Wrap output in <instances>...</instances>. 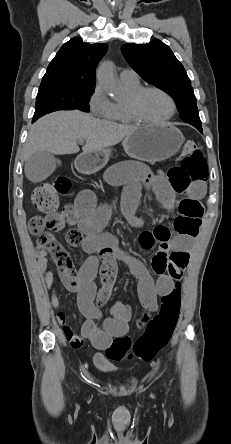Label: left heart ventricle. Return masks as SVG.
<instances>
[{"label":"left heart ventricle","instance_id":"1","mask_svg":"<svg viewBox=\"0 0 231 444\" xmlns=\"http://www.w3.org/2000/svg\"><path fill=\"white\" fill-rule=\"evenodd\" d=\"M139 110L147 119L160 120L170 114L171 105L164 95L149 91L142 96L139 102Z\"/></svg>","mask_w":231,"mask_h":444}]
</instances>
